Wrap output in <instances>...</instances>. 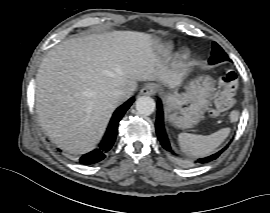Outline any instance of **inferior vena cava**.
<instances>
[{"mask_svg": "<svg viewBox=\"0 0 270 213\" xmlns=\"http://www.w3.org/2000/svg\"><path fill=\"white\" fill-rule=\"evenodd\" d=\"M110 97H111L114 101H122V100H124L125 97H126V92H125V90H123V89L116 88V89H113V90L110 92Z\"/></svg>", "mask_w": 270, "mask_h": 213, "instance_id": "inferior-vena-cava-1", "label": "inferior vena cava"}]
</instances>
